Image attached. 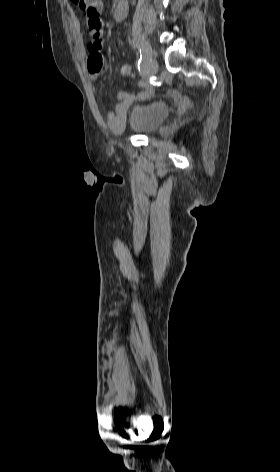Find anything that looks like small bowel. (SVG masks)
I'll list each match as a JSON object with an SVG mask.
<instances>
[{"instance_id": "small-bowel-1", "label": "small bowel", "mask_w": 280, "mask_h": 472, "mask_svg": "<svg viewBox=\"0 0 280 472\" xmlns=\"http://www.w3.org/2000/svg\"><path fill=\"white\" fill-rule=\"evenodd\" d=\"M127 7L125 1L120 2ZM88 34L90 37V42L88 44L89 56L87 59V68L92 79L98 78L102 72L103 67V31H102V21L98 23H92L87 21ZM139 86L144 88V90L139 93L137 96H134L126 91H120L117 94V103L108 113V125L112 129H117L123 122V119L126 114L127 108L137 99L147 97L151 94V89L145 81H139Z\"/></svg>"}]
</instances>
